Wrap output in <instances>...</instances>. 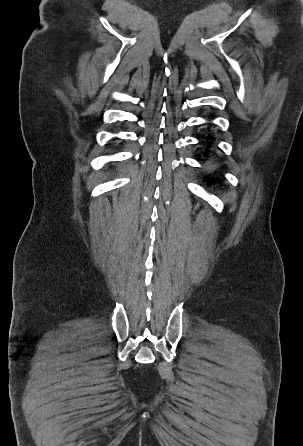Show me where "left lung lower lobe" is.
Wrapping results in <instances>:
<instances>
[{
	"label": "left lung lower lobe",
	"mask_w": 303,
	"mask_h": 446,
	"mask_svg": "<svg viewBox=\"0 0 303 446\" xmlns=\"http://www.w3.org/2000/svg\"><path fill=\"white\" fill-rule=\"evenodd\" d=\"M208 151V150H207ZM206 155H208V153H206ZM207 180H208V183L209 184H213V181H214V179L213 178H211V177H209V178H207Z\"/></svg>",
	"instance_id": "left-lung-lower-lobe-1"
}]
</instances>
